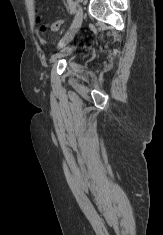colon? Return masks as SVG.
Listing matches in <instances>:
<instances>
[{
    "label": "colon",
    "instance_id": "1",
    "mask_svg": "<svg viewBox=\"0 0 163 235\" xmlns=\"http://www.w3.org/2000/svg\"><path fill=\"white\" fill-rule=\"evenodd\" d=\"M37 21L39 23V28L41 31H47V30H52V31H57L60 29L61 25H62V20H56L54 22H52L51 24H46V23H43L41 21V18L40 17H37Z\"/></svg>",
    "mask_w": 163,
    "mask_h": 235
}]
</instances>
